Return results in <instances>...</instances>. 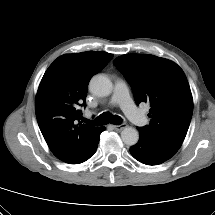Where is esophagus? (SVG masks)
<instances>
[{"instance_id": "obj_1", "label": "esophagus", "mask_w": 215, "mask_h": 215, "mask_svg": "<svg viewBox=\"0 0 215 215\" xmlns=\"http://www.w3.org/2000/svg\"><path fill=\"white\" fill-rule=\"evenodd\" d=\"M127 125L125 123L123 124H120V125H113V128L116 130V131H121L123 130L124 128H126Z\"/></svg>"}]
</instances>
